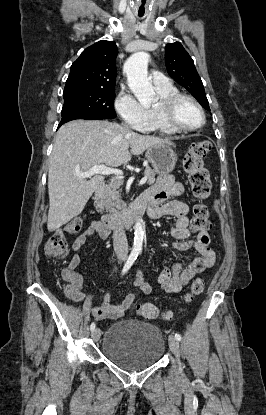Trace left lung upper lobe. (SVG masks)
Masks as SVG:
<instances>
[{
	"mask_svg": "<svg viewBox=\"0 0 266 415\" xmlns=\"http://www.w3.org/2000/svg\"><path fill=\"white\" fill-rule=\"evenodd\" d=\"M165 63L169 75L186 88L203 108L210 110L203 83L194 66V61L180 42L166 45Z\"/></svg>",
	"mask_w": 266,
	"mask_h": 415,
	"instance_id": "left-lung-upper-lobe-1",
	"label": "left lung upper lobe"
}]
</instances>
